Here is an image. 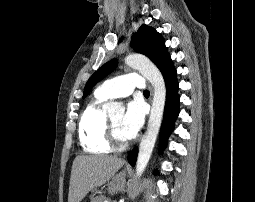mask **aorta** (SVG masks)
<instances>
[{"instance_id": "762f6f07", "label": "aorta", "mask_w": 255, "mask_h": 202, "mask_svg": "<svg viewBox=\"0 0 255 202\" xmlns=\"http://www.w3.org/2000/svg\"><path fill=\"white\" fill-rule=\"evenodd\" d=\"M125 63L131 68L138 70L151 83L154 89L147 130L140 143L136 162V176L140 177L149 162L161 127L166 101V86L159 69L145 56L138 54L128 55L125 58ZM104 109L110 116L123 114L125 111L121 103L112 101L106 103Z\"/></svg>"}]
</instances>
